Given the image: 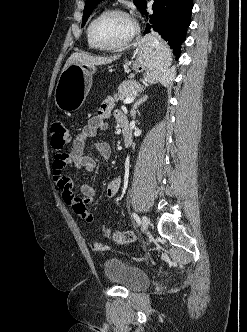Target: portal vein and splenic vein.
<instances>
[{
    "instance_id": "obj_1",
    "label": "portal vein and splenic vein",
    "mask_w": 247,
    "mask_h": 332,
    "mask_svg": "<svg viewBox=\"0 0 247 332\" xmlns=\"http://www.w3.org/2000/svg\"><path fill=\"white\" fill-rule=\"evenodd\" d=\"M135 97L132 96V97H127L126 99H124L123 103L124 104H130L134 101Z\"/></svg>"
}]
</instances>
